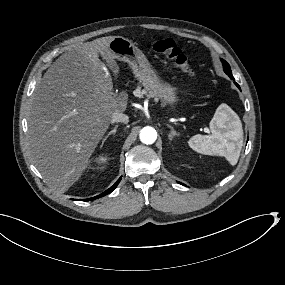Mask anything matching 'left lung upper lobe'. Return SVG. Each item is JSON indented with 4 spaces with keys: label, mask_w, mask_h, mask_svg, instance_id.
I'll list each match as a JSON object with an SVG mask.
<instances>
[{
    "label": "left lung upper lobe",
    "mask_w": 285,
    "mask_h": 285,
    "mask_svg": "<svg viewBox=\"0 0 285 285\" xmlns=\"http://www.w3.org/2000/svg\"><path fill=\"white\" fill-rule=\"evenodd\" d=\"M222 63H223V68H224L225 73H226L230 78H232L233 76H232V72H231V69H230L229 64H228L225 60H223V59H222Z\"/></svg>",
    "instance_id": "obj_1"
}]
</instances>
